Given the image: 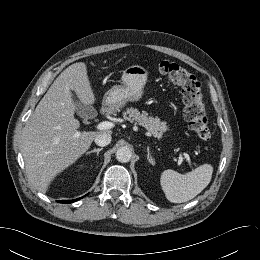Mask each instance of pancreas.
Wrapping results in <instances>:
<instances>
[{"instance_id":"pancreas-1","label":"pancreas","mask_w":260,"mask_h":260,"mask_svg":"<svg viewBox=\"0 0 260 260\" xmlns=\"http://www.w3.org/2000/svg\"><path fill=\"white\" fill-rule=\"evenodd\" d=\"M124 119L143 126L148 133L158 139L162 138L163 133L168 129L166 122L160 121V118L149 115L146 111L140 113L138 109L132 107L124 112Z\"/></svg>"}]
</instances>
